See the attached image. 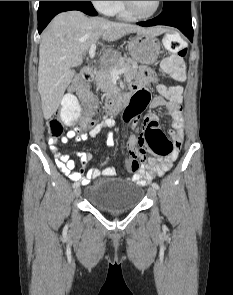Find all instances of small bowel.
I'll use <instances>...</instances> for the list:
<instances>
[{
	"label": "small bowel",
	"instance_id": "c3829d8e",
	"mask_svg": "<svg viewBox=\"0 0 233 295\" xmlns=\"http://www.w3.org/2000/svg\"><path fill=\"white\" fill-rule=\"evenodd\" d=\"M154 81L153 73L150 69L143 67L139 70L138 82L135 84L137 92L131 99L130 106L128 107V117L133 125L137 124L140 119L141 112L147 107H162L167 110L168 115L171 118V127L169 136L173 142L172 152L164 157H149L147 161L141 166L137 173L133 177V181L139 185H147L157 176H162L168 172L174 161L177 159L180 151L183 136H184V122L182 115V96L181 94L176 97H170L160 93L159 95L152 97L150 91L145 87L146 84ZM86 106L89 102L96 104L94 97L91 95L90 101L84 100ZM115 125V121L108 115H106L102 121L89 125L84 121H81L77 126L70 129L64 136L60 138L62 143H67L69 140L85 141L89 138H96L103 128H110ZM159 128L158 117L155 114H148L144 119V127ZM57 138L51 137L49 139V149L54 155L56 165L58 168L74 181H81L83 184H87L91 179H96L99 176H113L115 170L111 167L104 168L102 171L96 168L88 170L85 176H83V169L75 170V161L73 156L80 158L81 164L86 166L91 160V154L85 152L62 154L57 147ZM134 140H129V145L133 146ZM106 145L109 149L114 147V138L110 134L107 137Z\"/></svg>",
	"mask_w": 233,
	"mask_h": 295
}]
</instances>
